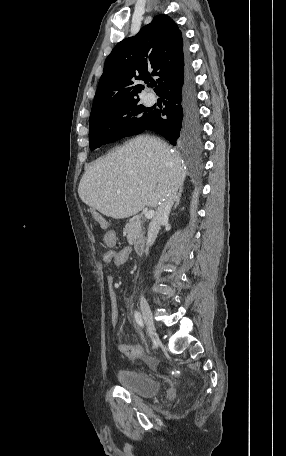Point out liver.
Returning <instances> with one entry per match:
<instances>
[{
  "label": "liver",
  "instance_id": "1",
  "mask_svg": "<svg viewBox=\"0 0 286 456\" xmlns=\"http://www.w3.org/2000/svg\"><path fill=\"white\" fill-rule=\"evenodd\" d=\"M186 176L179 155L153 136H139L96 160L82 176L78 193L88 206L114 219L157 207L177 192Z\"/></svg>",
  "mask_w": 286,
  "mask_h": 456
}]
</instances>
